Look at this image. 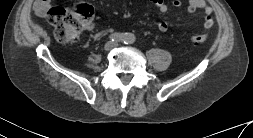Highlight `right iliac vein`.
Returning <instances> with one entry per match:
<instances>
[{
    "label": "right iliac vein",
    "instance_id": "obj_1",
    "mask_svg": "<svg viewBox=\"0 0 253 138\" xmlns=\"http://www.w3.org/2000/svg\"><path fill=\"white\" fill-rule=\"evenodd\" d=\"M113 48V43L112 42H108V43H106V45H105V50H111Z\"/></svg>",
    "mask_w": 253,
    "mask_h": 138
}]
</instances>
